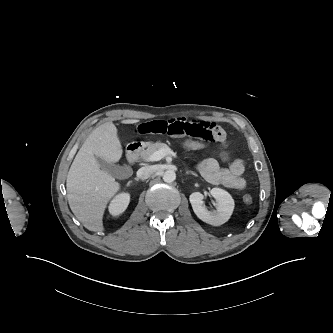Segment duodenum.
Wrapping results in <instances>:
<instances>
[{
	"mask_svg": "<svg viewBox=\"0 0 333 333\" xmlns=\"http://www.w3.org/2000/svg\"><path fill=\"white\" fill-rule=\"evenodd\" d=\"M139 151H140V144L134 143L129 145L126 150L127 161L129 163H133L137 159Z\"/></svg>",
	"mask_w": 333,
	"mask_h": 333,
	"instance_id": "1",
	"label": "duodenum"
}]
</instances>
